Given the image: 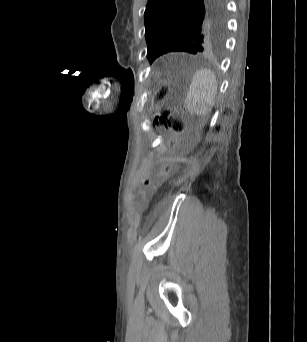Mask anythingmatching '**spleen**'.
Listing matches in <instances>:
<instances>
[{
    "instance_id": "3e777b00",
    "label": "spleen",
    "mask_w": 307,
    "mask_h": 342,
    "mask_svg": "<svg viewBox=\"0 0 307 342\" xmlns=\"http://www.w3.org/2000/svg\"><path fill=\"white\" fill-rule=\"evenodd\" d=\"M217 92V80L214 72L203 68L195 72L187 92L184 109L189 114H209Z\"/></svg>"
}]
</instances>
